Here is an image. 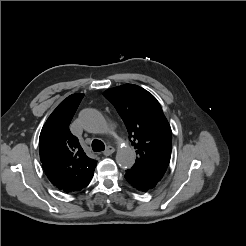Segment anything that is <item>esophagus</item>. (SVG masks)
<instances>
[{"label": "esophagus", "mask_w": 246, "mask_h": 246, "mask_svg": "<svg viewBox=\"0 0 246 246\" xmlns=\"http://www.w3.org/2000/svg\"><path fill=\"white\" fill-rule=\"evenodd\" d=\"M114 152H115L114 147H112V146H107V148L105 149V151L103 152V154H104L105 156H109V155L113 154Z\"/></svg>", "instance_id": "esophagus-1"}]
</instances>
